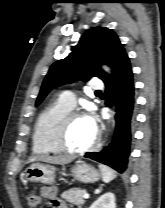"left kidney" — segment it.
Returning <instances> with one entry per match:
<instances>
[{"instance_id":"obj_1","label":"left kidney","mask_w":165,"mask_h":208,"mask_svg":"<svg viewBox=\"0 0 165 208\" xmlns=\"http://www.w3.org/2000/svg\"><path fill=\"white\" fill-rule=\"evenodd\" d=\"M89 208H116L115 195L107 192L99 197Z\"/></svg>"}]
</instances>
